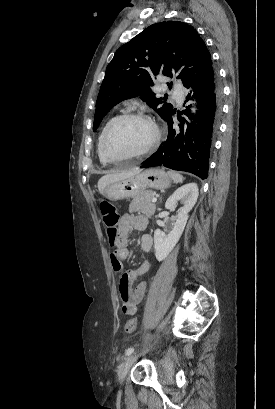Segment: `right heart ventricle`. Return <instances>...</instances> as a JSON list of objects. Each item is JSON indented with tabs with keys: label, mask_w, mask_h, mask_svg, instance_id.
<instances>
[{
	"label": "right heart ventricle",
	"mask_w": 275,
	"mask_h": 409,
	"mask_svg": "<svg viewBox=\"0 0 275 409\" xmlns=\"http://www.w3.org/2000/svg\"><path fill=\"white\" fill-rule=\"evenodd\" d=\"M113 120H114V119H110V120L104 125V127L102 128V130H101V132H100V135H99V138H98V144H97V151H98L99 157H101L100 150H101L102 139H103V137H104V134H105L107 128L109 127V125L111 124V122H112Z\"/></svg>",
	"instance_id": "e07e8e85"
}]
</instances>
